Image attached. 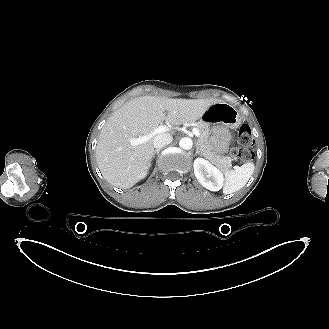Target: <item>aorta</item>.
<instances>
[{
	"label": "aorta",
	"instance_id": "aorta-1",
	"mask_svg": "<svg viewBox=\"0 0 329 329\" xmlns=\"http://www.w3.org/2000/svg\"><path fill=\"white\" fill-rule=\"evenodd\" d=\"M179 146L182 148V149H185V150H189L192 148L193 146V142L190 138L188 137H184L182 138L180 141H179Z\"/></svg>",
	"mask_w": 329,
	"mask_h": 329
}]
</instances>
